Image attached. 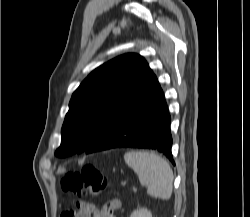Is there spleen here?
I'll list each match as a JSON object with an SVG mask.
<instances>
[{"instance_id":"3e777b00","label":"spleen","mask_w":250,"mask_h":217,"mask_svg":"<svg viewBox=\"0 0 250 217\" xmlns=\"http://www.w3.org/2000/svg\"><path fill=\"white\" fill-rule=\"evenodd\" d=\"M124 160L138 175L147 194L154 198L168 200L173 189V172L169 163L153 152L130 151Z\"/></svg>"}]
</instances>
